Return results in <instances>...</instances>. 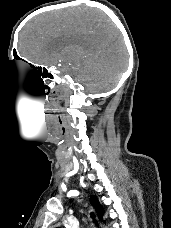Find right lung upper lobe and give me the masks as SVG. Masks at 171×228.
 Wrapping results in <instances>:
<instances>
[{
    "label": "right lung upper lobe",
    "instance_id": "obj_1",
    "mask_svg": "<svg viewBox=\"0 0 171 228\" xmlns=\"http://www.w3.org/2000/svg\"><path fill=\"white\" fill-rule=\"evenodd\" d=\"M90 202L94 206L99 220L103 221L104 210H103V207L101 206V204L99 203L97 197L95 195H92L90 198Z\"/></svg>",
    "mask_w": 171,
    "mask_h": 228
}]
</instances>
